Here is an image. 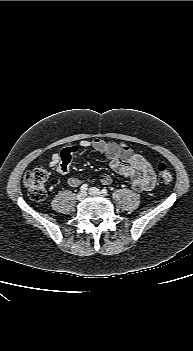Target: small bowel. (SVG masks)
<instances>
[{
	"label": "small bowel",
	"instance_id": "small-bowel-1",
	"mask_svg": "<svg viewBox=\"0 0 193 351\" xmlns=\"http://www.w3.org/2000/svg\"><path fill=\"white\" fill-rule=\"evenodd\" d=\"M88 148L104 155L114 172L130 180L134 191L148 192L153 189L156 176L151 163L144 156L135 153L128 145L122 143L105 141L99 138L74 142L71 148L62 147L59 153H55L50 164L57 173L67 174L71 168L72 154L77 157L81 156ZM84 180L81 177H70L67 184L70 187H77ZM100 182L103 185H110L112 177L103 174L100 177Z\"/></svg>",
	"mask_w": 193,
	"mask_h": 351
}]
</instances>
